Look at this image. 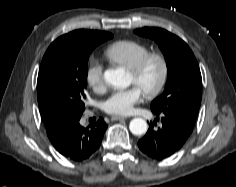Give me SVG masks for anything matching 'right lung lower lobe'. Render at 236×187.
I'll return each instance as SVG.
<instances>
[{
    "label": "right lung lower lobe",
    "mask_w": 236,
    "mask_h": 187,
    "mask_svg": "<svg viewBox=\"0 0 236 187\" xmlns=\"http://www.w3.org/2000/svg\"><path fill=\"white\" fill-rule=\"evenodd\" d=\"M77 119L67 125L52 142L56 150L74 162L88 159L96 152L102 141L107 124L100 118L93 126L84 128Z\"/></svg>",
    "instance_id": "right-lung-lower-lobe-1"
}]
</instances>
